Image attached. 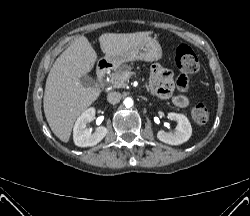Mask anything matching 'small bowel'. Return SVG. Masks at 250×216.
I'll return each instance as SVG.
<instances>
[{
    "label": "small bowel",
    "instance_id": "small-bowel-1",
    "mask_svg": "<svg viewBox=\"0 0 250 216\" xmlns=\"http://www.w3.org/2000/svg\"><path fill=\"white\" fill-rule=\"evenodd\" d=\"M176 87L182 94L173 96ZM149 88L161 99L172 98L173 103L178 107L184 108L189 105V99L184 94L188 89L187 78L179 76L175 80L172 72L160 65L152 67Z\"/></svg>",
    "mask_w": 250,
    "mask_h": 216
}]
</instances>
